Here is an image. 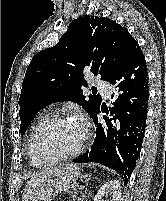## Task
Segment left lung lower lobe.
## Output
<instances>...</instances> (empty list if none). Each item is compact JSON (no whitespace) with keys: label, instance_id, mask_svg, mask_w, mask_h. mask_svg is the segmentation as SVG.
I'll list each match as a JSON object with an SVG mask.
<instances>
[{"label":"left lung lower lobe","instance_id":"left-lung-lower-lobe-1","mask_svg":"<svg viewBox=\"0 0 166 201\" xmlns=\"http://www.w3.org/2000/svg\"><path fill=\"white\" fill-rule=\"evenodd\" d=\"M108 82L122 93L109 111L101 106L102 112L106 113L104 126L98 123L100 109L94 115L97 126L94 144L73 162L103 164L117 171L126 185L142 147L148 110L147 66L138 43Z\"/></svg>","mask_w":166,"mask_h":201}]
</instances>
